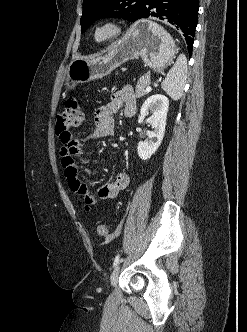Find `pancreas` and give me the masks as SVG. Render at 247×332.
Segmentation results:
<instances>
[{
	"label": "pancreas",
	"instance_id": "pancreas-1",
	"mask_svg": "<svg viewBox=\"0 0 247 332\" xmlns=\"http://www.w3.org/2000/svg\"><path fill=\"white\" fill-rule=\"evenodd\" d=\"M150 84V76L148 74L142 76L137 85L135 90V97L140 98L145 95V89Z\"/></svg>",
	"mask_w": 247,
	"mask_h": 332
}]
</instances>
